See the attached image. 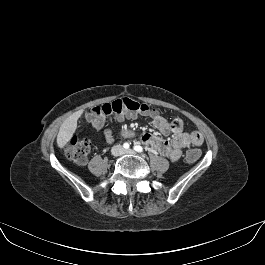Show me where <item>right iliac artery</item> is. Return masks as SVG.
<instances>
[{"label":"right iliac artery","instance_id":"82829eb1","mask_svg":"<svg viewBox=\"0 0 265 265\" xmlns=\"http://www.w3.org/2000/svg\"><path fill=\"white\" fill-rule=\"evenodd\" d=\"M123 147H124L125 149H128V148L130 147V145H129V143H124V144H123Z\"/></svg>","mask_w":265,"mask_h":265}]
</instances>
